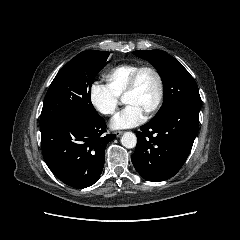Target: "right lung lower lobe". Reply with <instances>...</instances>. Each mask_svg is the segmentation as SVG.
<instances>
[{
    "label": "right lung lower lobe",
    "mask_w": 240,
    "mask_h": 240,
    "mask_svg": "<svg viewBox=\"0 0 240 240\" xmlns=\"http://www.w3.org/2000/svg\"><path fill=\"white\" fill-rule=\"evenodd\" d=\"M42 153L49 169L65 184L86 188L98 181L105 162L106 145L101 116L57 115L40 124Z\"/></svg>",
    "instance_id": "1"
}]
</instances>
